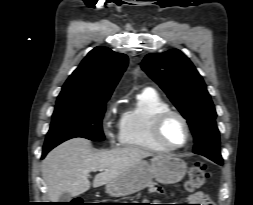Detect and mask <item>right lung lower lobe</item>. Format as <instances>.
<instances>
[{
    "mask_svg": "<svg viewBox=\"0 0 253 205\" xmlns=\"http://www.w3.org/2000/svg\"><path fill=\"white\" fill-rule=\"evenodd\" d=\"M52 148H44L42 153V158L46 156V154L51 150Z\"/></svg>",
    "mask_w": 253,
    "mask_h": 205,
    "instance_id": "98d812e1",
    "label": "right lung lower lobe"
}]
</instances>
